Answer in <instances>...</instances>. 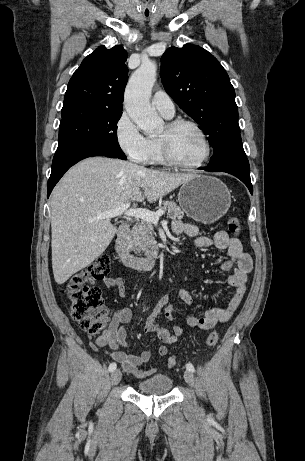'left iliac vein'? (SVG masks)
Masks as SVG:
<instances>
[{
    "instance_id": "1",
    "label": "left iliac vein",
    "mask_w": 305,
    "mask_h": 461,
    "mask_svg": "<svg viewBox=\"0 0 305 461\" xmlns=\"http://www.w3.org/2000/svg\"><path fill=\"white\" fill-rule=\"evenodd\" d=\"M184 379H185V381L187 382L188 385H190L191 387L194 386V376H193L191 371L186 370L184 372Z\"/></svg>"
}]
</instances>
